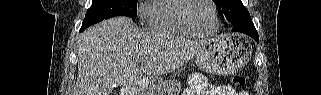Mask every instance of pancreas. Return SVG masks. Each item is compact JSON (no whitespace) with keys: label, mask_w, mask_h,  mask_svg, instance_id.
I'll return each instance as SVG.
<instances>
[{"label":"pancreas","mask_w":321,"mask_h":95,"mask_svg":"<svg viewBox=\"0 0 321 95\" xmlns=\"http://www.w3.org/2000/svg\"><path fill=\"white\" fill-rule=\"evenodd\" d=\"M181 89V83L178 80H166L164 82H159L154 84L150 88L152 95H175Z\"/></svg>","instance_id":"pancreas-1"}]
</instances>
